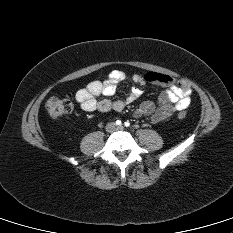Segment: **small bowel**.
I'll return each instance as SVG.
<instances>
[{
  "label": "small bowel",
  "mask_w": 233,
  "mask_h": 233,
  "mask_svg": "<svg viewBox=\"0 0 233 233\" xmlns=\"http://www.w3.org/2000/svg\"><path fill=\"white\" fill-rule=\"evenodd\" d=\"M126 78L127 75L124 72L113 70L105 80L91 81L79 89L75 94V99L81 109L86 112H121L126 104L134 102L141 96L142 90L139 87H133L122 100H98L97 97L101 95L112 96L116 92L117 85ZM132 81L141 86L152 83L166 87V90L159 95L157 104L152 101L141 103L134 111L135 117L144 116L153 123H160L175 113L185 110L191 103L192 88L184 80H176L168 75L148 72L144 75H133Z\"/></svg>",
  "instance_id": "c3829d8e"
}]
</instances>
